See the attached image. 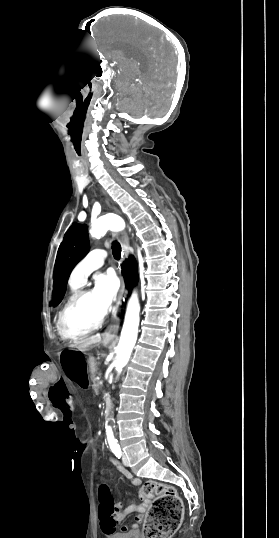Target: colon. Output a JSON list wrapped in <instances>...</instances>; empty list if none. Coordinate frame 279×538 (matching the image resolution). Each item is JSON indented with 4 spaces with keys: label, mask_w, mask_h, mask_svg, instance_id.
Listing matches in <instances>:
<instances>
[{
    "label": "colon",
    "mask_w": 279,
    "mask_h": 538,
    "mask_svg": "<svg viewBox=\"0 0 279 538\" xmlns=\"http://www.w3.org/2000/svg\"><path fill=\"white\" fill-rule=\"evenodd\" d=\"M143 495L154 497L143 529L144 538H170L179 528L183 504L176 490L168 485L149 481L142 488ZM99 514L111 518L115 514L114 501L102 477L98 479Z\"/></svg>",
    "instance_id": "colon-1"
}]
</instances>
